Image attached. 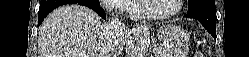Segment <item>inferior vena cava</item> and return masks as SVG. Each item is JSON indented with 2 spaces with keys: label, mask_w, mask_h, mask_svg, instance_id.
Wrapping results in <instances>:
<instances>
[{
  "label": "inferior vena cava",
  "mask_w": 249,
  "mask_h": 57,
  "mask_svg": "<svg viewBox=\"0 0 249 57\" xmlns=\"http://www.w3.org/2000/svg\"><path fill=\"white\" fill-rule=\"evenodd\" d=\"M111 26H120L122 25L121 21L117 17L112 16L111 17Z\"/></svg>",
  "instance_id": "602c4592"
}]
</instances>
